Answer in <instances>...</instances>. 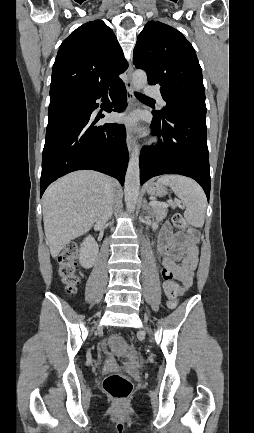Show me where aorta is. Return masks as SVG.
Here are the masks:
<instances>
[{
	"label": "aorta",
	"mask_w": 254,
	"mask_h": 433,
	"mask_svg": "<svg viewBox=\"0 0 254 433\" xmlns=\"http://www.w3.org/2000/svg\"><path fill=\"white\" fill-rule=\"evenodd\" d=\"M132 84L136 91H140L147 84V75L143 70H136L132 75ZM140 151L137 147L134 148L127 167L124 193L125 204L128 212L133 213L136 208L139 189H140V167H139Z\"/></svg>",
	"instance_id": "762f6f07"
}]
</instances>
